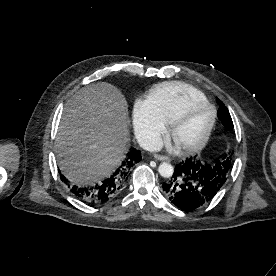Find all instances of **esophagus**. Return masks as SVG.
<instances>
[{"mask_svg": "<svg viewBox=\"0 0 276 276\" xmlns=\"http://www.w3.org/2000/svg\"><path fill=\"white\" fill-rule=\"evenodd\" d=\"M154 158L160 161L170 162V158L164 155L154 154Z\"/></svg>", "mask_w": 276, "mask_h": 276, "instance_id": "34e87169", "label": "esophagus"}]
</instances>
